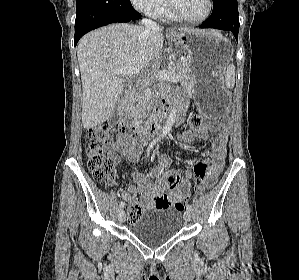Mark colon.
<instances>
[{
	"instance_id": "obj_1",
	"label": "colon",
	"mask_w": 299,
	"mask_h": 280,
	"mask_svg": "<svg viewBox=\"0 0 299 280\" xmlns=\"http://www.w3.org/2000/svg\"><path fill=\"white\" fill-rule=\"evenodd\" d=\"M205 122V118L195 115L190 120V133H200V127ZM113 141V131L108 126H96L88 129L85 133V148L88 157V168L93 178L101 183L110 184L116 179L115 160L104 151V146L111 144ZM207 164L198 162L194 165L193 173L195 176V192L202 193L205 189L211 187L212 181L207 179ZM184 201L175 203L174 207L182 211L185 206ZM144 205L140 201L129 204L128 219L137 221L144 213Z\"/></svg>"
}]
</instances>
